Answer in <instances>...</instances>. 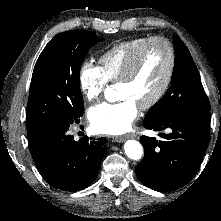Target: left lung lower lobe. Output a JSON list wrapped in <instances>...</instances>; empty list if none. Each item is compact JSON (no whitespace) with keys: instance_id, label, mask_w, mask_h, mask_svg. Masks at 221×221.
Masks as SVG:
<instances>
[{"instance_id":"1","label":"left lung lower lobe","mask_w":221,"mask_h":221,"mask_svg":"<svg viewBox=\"0 0 221 221\" xmlns=\"http://www.w3.org/2000/svg\"><path fill=\"white\" fill-rule=\"evenodd\" d=\"M144 127L154 131L170 129L163 140L141 136L143 160L136 166L138 179L147 187L162 192L186 185L196 174L210 139V105L182 108L171 118Z\"/></svg>"}]
</instances>
